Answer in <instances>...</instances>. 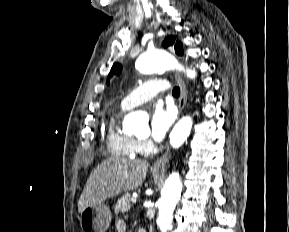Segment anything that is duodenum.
<instances>
[{
    "label": "duodenum",
    "instance_id": "duodenum-1",
    "mask_svg": "<svg viewBox=\"0 0 289 232\" xmlns=\"http://www.w3.org/2000/svg\"><path fill=\"white\" fill-rule=\"evenodd\" d=\"M138 232H146L145 230H143V229H140Z\"/></svg>",
    "mask_w": 289,
    "mask_h": 232
}]
</instances>
